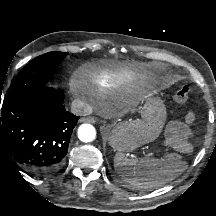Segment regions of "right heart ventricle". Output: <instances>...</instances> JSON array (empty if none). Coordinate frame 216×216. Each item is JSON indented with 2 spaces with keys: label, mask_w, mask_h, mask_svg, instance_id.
I'll use <instances>...</instances> for the list:
<instances>
[{
  "label": "right heart ventricle",
  "mask_w": 216,
  "mask_h": 216,
  "mask_svg": "<svg viewBox=\"0 0 216 216\" xmlns=\"http://www.w3.org/2000/svg\"><path fill=\"white\" fill-rule=\"evenodd\" d=\"M112 77L110 75H103L97 79L99 89L106 90L110 87Z\"/></svg>",
  "instance_id": "e07e8e85"
}]
</instances>
